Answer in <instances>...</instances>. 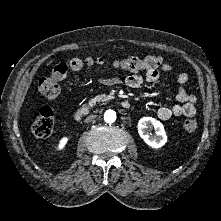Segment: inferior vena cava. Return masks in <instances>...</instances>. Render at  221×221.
<instances>
[{
  "instance_id": "inferior-vena-cava-1",
  "label": "inferior vena cava",
  "mask_w": 221,
  "mask_h": 221,
  "mask_svg": "<svg viewBox=\"0 0 221 221\" xmlns=\"http://www.w3.org/2000/svg\"><path fill=\"white\" fill-rule=\"evenodd\" d=\"M95 118H96V115H90V116L86 117L85 122H86V123H90V122H92Z\"/></svg>"
}]
</instances>
